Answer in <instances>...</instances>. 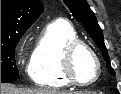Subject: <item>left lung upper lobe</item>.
<instances>
[{
	"label": "left lung upper lobe",
	"mask_w": 121,
	"mask_h": 94,
	"mask_svg": "<svg viewBox=\"0 0 121 94\" xmlns=\"http://www.w3.org/2000/svg\"><path fill=\"white\" fill-rule=\"evenodd\" d=\"M66 8L72 15L83 24L87 33L92 37L97 46L102 52L104 60L106 61L109 72L115 75L111 65L106 46L104 44L103 32L97 23L93 11L90 9L86 0H63Z\"/></svg>",
	"instance_id": "1"
}]
</instances>
